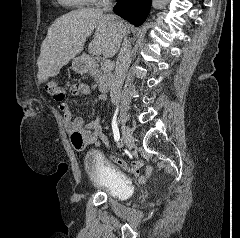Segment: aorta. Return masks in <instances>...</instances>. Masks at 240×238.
<instances>
[{
  "label": "aorta",
  "mask_w": 240,
  "mask_h": 238,
  "mask_svg": "<svg viewBox=\"0 0 240 238\" xmlns=\"http://www.w3.org/2000/svg\"><path fill=\"white\" fill-rule=\"evenodd\" d=\"M166 0H153L152 7L161 8L165 4Z\"/></svg>",
  "instance_id": "1"
}]
</instances>
